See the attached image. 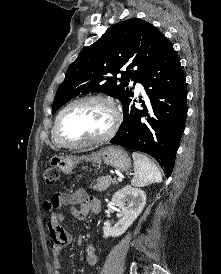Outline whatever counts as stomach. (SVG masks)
Wrapping results in <instances>:
<instances>
[{"label":"stomach","mask_w":221,"mask_h":274,"mask_svg":"<svg viewBox=\"0 0 221 274\" xmlns=\"http://www.w3.org/2000/svg\"><path fill=\"white\" fill-rule=\"evenodd\" d=\"M81 160L92 161L93 163H101L103 161L106 165L120 171H127L131 167V160L127 152L115 146L102 148L89 156H53L49 163L64 174H70L75 165Z\"/></svg>","instance_id":"1"}]
</instances>
